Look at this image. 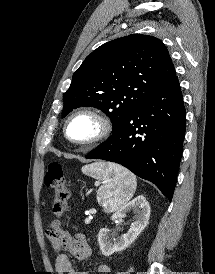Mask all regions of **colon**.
Listing matches in <instances>:
<instances>
[{
    "instance_id": "colon-1",
    "label": "colon",
    "mask_w": 215,
    "mask_h": 274,
    "mask_svg": "<svg viewBox=\"0 0 215 274\" xmlns=\"http://www.w3.org/2000/svg\"><path fill=\"white\" fill-rule=\"evenodd\" d=\"M45 184L54 192L53 213L59 218L67 209L69 196V191L65 185L63 167L59 162L51 161L48 164L45 174ZM57 223H59L58 219Z\"/></svg>"
}]
</instances>
